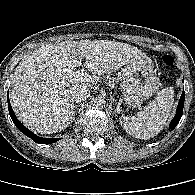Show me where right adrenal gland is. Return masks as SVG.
Returning a JSON list of instances; mask_svg holds the SVG:
<instances>
[{
  "instance_id": "1",
  "label": "right adrenal gland",
  "mask_w": 195,
  "mask_h": 195,
  "mask_svg": "<svg viewBox=\"0 0 195 195\" xmlns=\"http://www.w3.org/2000/svg\"><path fill=\"white\" fill-rule=\"evenodd\" d=\"M80 106V104H77V105H75L74 106V118H75V116H76V114H77V108Z\"/></svg>"
}]
</instances>
